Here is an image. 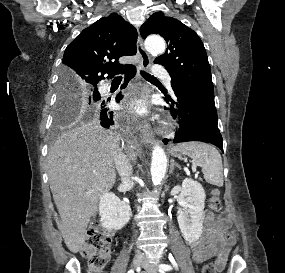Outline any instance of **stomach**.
<instances>
[{
	"label": "stomach",
	"instance_id": "0dacf381",
	"mask_svg": "<svg viewBox=\"0 0 285 273\" xmlns=\"http://www.w3.org/2000/svg\"><path fill=\"white\" fill-rule=\"evenodd\" d=\"M171 154H172L173 156H177V153H176V151H174V150L171 151Z\"/></svg>",
	"mask_w": 285,
	"mask_h": 273
}]
</instances>
